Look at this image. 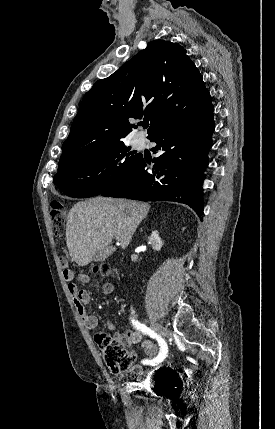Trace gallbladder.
I'll return each instance as SVG.
<instances>
[{"label": "gallbladder", "mask_w": 275, "mask_h": 429, "mask_svg": "<svg viewBox=\"0 0 275 429\" xmlns=\"http://www.w3.org/2000/svg\"><path fill=\"white\" fill-rule=\"evenodd\" d=\"M114 249L110 247H105L98 249L93 255V261L102 262L108 257H110L113 253Z\"/></svg>", "instance_id": "gallbladder-1"}]
</instances>
